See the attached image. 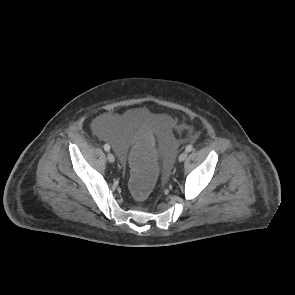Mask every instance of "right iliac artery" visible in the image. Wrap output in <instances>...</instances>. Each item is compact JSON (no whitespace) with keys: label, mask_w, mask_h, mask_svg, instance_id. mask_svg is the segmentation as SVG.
Listing matches in <instances>:
<instances>
[{"label":"right iliac artery","mask_w":295,"mask_h":295,"mask_svg":"<svg viewBox=\"0 0 295 295\" xmlns=\"http://www.w3.org/2000/svg\"><path fill=\"white\" fill-rule=\"evenodd\" d=\"M104 150L108 152L110 150V146L108 144H105L104 145Z\"/></svg>","instance_id":"obj_1"}]
</instances>
